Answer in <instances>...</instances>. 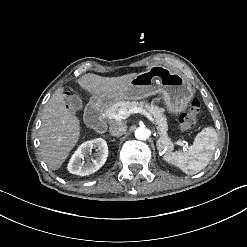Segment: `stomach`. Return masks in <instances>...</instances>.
<instances>
[{"mask_svg":"<svg viewBox=\"0 0 247 247\" xmlns=\"http://www.w3.org/2000/svg\"><path fill=\"white\" fill-rule=\"evenodd\" d=\"M194 93L191 83L182 74L152 65L145 72L137 74L124 89L92 95L89 104L97 109H105L120 100H141L162 94L168 112L179 114L187 109Z\"/></svg>","mask_w":247,"mask_h":247,"instance_id":"obj_1","label":"stomach"}]
</instances>
